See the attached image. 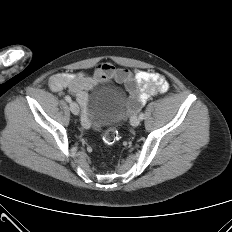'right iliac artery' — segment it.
Masks as SVG:
<instances>
[{"label":"right iliac artery","mask_w":232,"mask_h":232,"mask_svg":"<svg viewBox=\"0 0 232 232\" xmlns=\"http://www.w3.org/2000/svg\"><path fill=\"white\" fill-rule=\"evenodd\" d=\"M65 100L67 101V102H71V97L70 96H65Z\"/></svg>","instance_id":"1"}]
</instances>
